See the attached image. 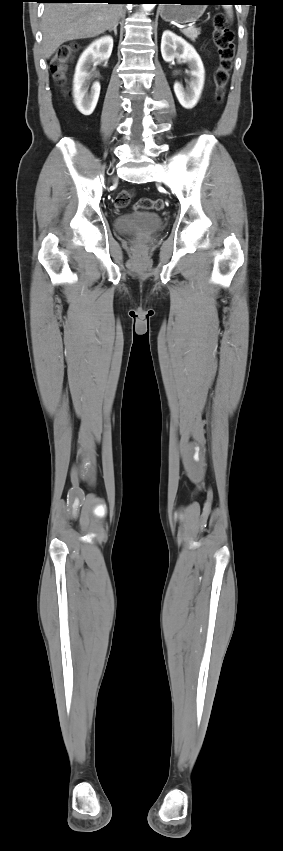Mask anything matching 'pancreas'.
Masks as SVG:
<instances>
[{"label": "pancreas", "instance_id": "cf45deb5", "mask_svg": "<svg viewBox=\"0 0 283 851\" xmlns=\"http://www.w3.org/2000/svg\"><path fill=\"white\" fill-rule=\"evenodd\" d=\"M182 33L189 38L191 41H195L200 34V29L197 28H187L182 30Z\"/></svg>", "mask_w": 283, "mask_h": 851}]
</instances>
